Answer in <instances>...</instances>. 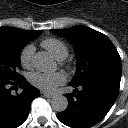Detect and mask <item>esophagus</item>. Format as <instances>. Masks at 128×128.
I'll return each instance as SVG.
<instances>
[{"label": "esophagus", "instance_id": "obj_1", "mask_svg": "<svg viewBox=\"0 0 128 128\" xmlns=\"http://www.w3.org/2000/svg\"><path fill=\"white\" fill-rule=\"evenodd\" d=\"M41 96L42 97H46V98H52L53 97V94H50V93H46V92H41Z\"/></svg>", "mask_w": 128, "mask_h": 128}]
</instances>
